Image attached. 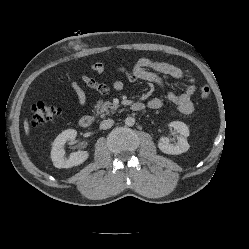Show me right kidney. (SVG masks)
<instances>
[{"instance_id":"obj_1","label":"right kidney","mask_w":249,"mask_h":249,"mask_svg":"<svg viewBox=\"0 0 249 249\" xmlns=\"http://www.w3.org/2000/svg\"><path fill=\"white\" fill-rule=\"evenodd\" d=\"M77 136V131L67 129L60 133L52 144L51 159L56 168H71L85 162L89 156L87 151H78L65 157L64 145L67 141L74 140Z\"/></svg>"}]
</instances>
